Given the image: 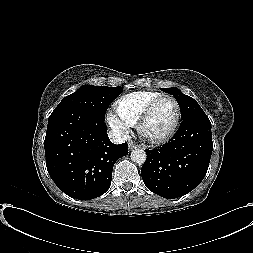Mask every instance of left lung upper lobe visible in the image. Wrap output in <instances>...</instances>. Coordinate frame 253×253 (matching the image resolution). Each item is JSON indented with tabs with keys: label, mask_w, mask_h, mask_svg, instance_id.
Segmentation results:
<instances>
[{
	"label": "left lung upper lobe",
	"mask_w": 253,
	"mask_h": 253,
	"mask_svg": "<svg viewBox=\"0 0 253 253\" xmlns=\"http://www.w3.org/2000/svg\"><path fill=\"white\" fill-rule=\"evenodd\" d=\"M161 90L175 97L181 110L182 120L193 116L206 115L196 100H194L190 96L183 94L179 89L162 88Z\"/></svg>",
	"instance_id": "5c2ea615"
}]
</instances>
